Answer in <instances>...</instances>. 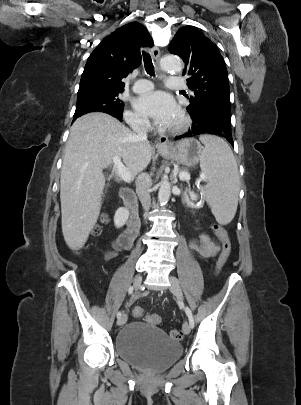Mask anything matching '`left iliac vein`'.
<instances>
[{
    "label": "left iliac vein",
    "mask_w": 301,
    "mask_h": 405,
    "mask_svg": "<svg viewBox=\"0 0 301 405\" xmlns=\"http://www.w3.org/2000/svg\"><path fill=\"white\" fill-rule=\"evenodd\" d=\"M170 281V291L177 297L179 301H183V293L179 284V280L175 276L169 277ZM183 332L184 334H189L191 331V327L189 323H184L183 325Z\"/></svg>",
    "instance_id": "4c4485c4"
}]
</instances>
